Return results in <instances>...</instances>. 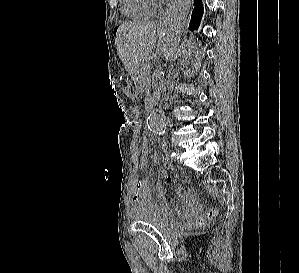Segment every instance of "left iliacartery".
<instances>
[{
	"mask_svg": "<svg viewBox=\"0 0 299 273\" xmlns=\"http://www.w3.org/2000/svg\"><path fill=\"white\" fill-rule=\"evenodd\" d=\"M171 157L174 159V160H177L178 159V156L175 152H172L171 153Z\"/></svg>",
	"mask_w": 299,
	"mask_h": 273,
	"instance_id": "left-iliac-artery-1",
	"label": "left iliac artery"
}]
</instances>
